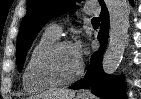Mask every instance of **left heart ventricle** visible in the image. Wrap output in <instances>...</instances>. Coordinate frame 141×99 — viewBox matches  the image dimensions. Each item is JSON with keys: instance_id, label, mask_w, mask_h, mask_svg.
Segmentation results:
<instances>
[{"instance_id": "obj_1", "label": "left heart ventricle", "mask_w": 141, "mask_h": 99, "mask_svg": "<svg viewBox=\"0 0 141 99\" xmlns=\"http://www.w3.org/2000/svg\"><path fill=\"white\" fill-rule=\"evenodd\" d=\"M80 62L74 55L72 46H64L56 51L48 61L47 67L53 76L67 79L79 69Z\"/></svg>"}]
</instances>
